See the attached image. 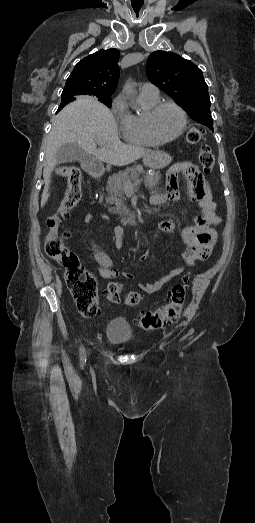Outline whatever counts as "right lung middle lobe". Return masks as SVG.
<instances>
[{
    "mask_svg": "<svg viewBox=\"0 0 255 523\" xmlns=\"http://www.w3.org/2000/svg\"><path fill=\"white\" fill-rule=\"evenodd\" d=\"M64 96L62 95V98ZM98 100L102 103H104L106 106H108L109 108H111V105H112V99L111 97H102V98H98Z\"/></svg>",
    "mask_w": 255,
    "mask_h": 523,
    "instance_id": "obj_1",
    "label": "right lung middle lobe"
}]
</instances>
